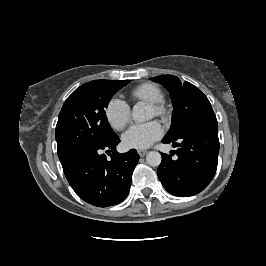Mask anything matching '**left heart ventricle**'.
<instances>
[{
    "mask_svg": "<svg viewBox=\"0 0 266 266\" xmlns=\"http://www.w3.org/2000/svg\"><path fill=\"white\" fill-rule=\"evenodd\" d=\"M149 116H150V117L155 116V111H154V109L151 108V107H150V113H149Z\"/></svg>",
    "mask_w": 266,
    "mask_h": 266,
    "instance_id": "1",
    "label": "left heart ventricle"
}]
</instances>
